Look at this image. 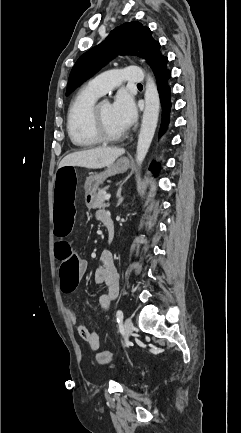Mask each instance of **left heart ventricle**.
Segmentation results:
<instances>
[{
  "mask_svg": "<svg viewBox=\"0 0 241 433\" xmlns=\"http://www.w3.org/2000/svg\"><path fill=\"white\" fill-rule=\"evenodd\" d=\"M100 115L101 120L104 126V129L111 135H118L122 132H124V129L119 125L118 121L116 120L113 112H112V106L107 103L103 102L100 106Z\"/></svg>",
  "mask_w": 241,
  "mask_h": 433,
  "instance_id": "obj_1",
  "label": "left heart ventricle"
}]
</instances>
